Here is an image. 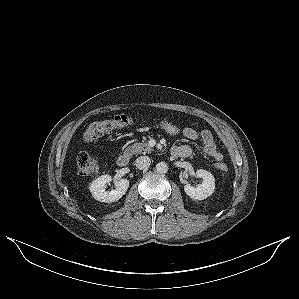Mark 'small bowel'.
I'll return each mask as SVG.
<instances>
[{
    "instance_id": "obj_1",
    "label": "small bowel",
    "mask_w": 299,
    "mask_h": 299,
    "mask_svg": "<svg viewBox=\"0 0 299 299\" xmlns=\"http://www.w3.org/2000/svg\"><path fill=\"white\" fill-rule=\"evenodd\" d=\"M183 135L189 140H200L203 144L204 152L217 162L223 160V155L217 149L213 136L209 130H202L198 132L196 129L192 127H185L183 129ZM178 151L183 152V155L180 157H188L192 153V149L188 145L176 146L173 148L172 153L175 156H178L176 155V152Z\"/></svg>"
}]
</instances>
